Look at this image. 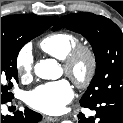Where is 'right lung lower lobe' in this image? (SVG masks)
<instances>
[{"label": "right lung lower lobe", "instance_id": "98d812e1", "mask_svg": "<svg viewBox=\"0 0 123 123\" xmlns=\"http://www.w3.org/2000/svg\"><path fill=\"white\" fill-rule=\"evenodd\" d=\"M9 101L1 100V104H5ZM41 119L42 116L39 113H36L28 108H25L23 112L17 111L14 113V115L4 116L1 114V123H37L41 121Z\"/></svg>", "mask_w": 123, "mask_h": 123}]
</instances>
